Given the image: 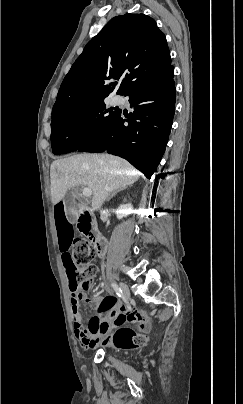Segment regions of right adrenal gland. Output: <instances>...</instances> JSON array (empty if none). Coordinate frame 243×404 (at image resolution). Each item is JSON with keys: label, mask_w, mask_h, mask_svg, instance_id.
Segmentation results:
<instances>
[{"label": "right adrenal gland", "mask_w": 243, "mask_h": 404, "mask_svg": "<svg viewBox=\"0 0 243 404\" xmlns=\"http://www.w3.org/2000/svg\"><path fill=\"white\" fill-rule=\"evenodd\" d=\"M121 190H125V188H119V190H112L109 198H106V202H109V200H111V198H114V196H116L118 192H121Z\"/></svg>", "instance_id": "right-adrenal-gland-1"}]
</instances>
